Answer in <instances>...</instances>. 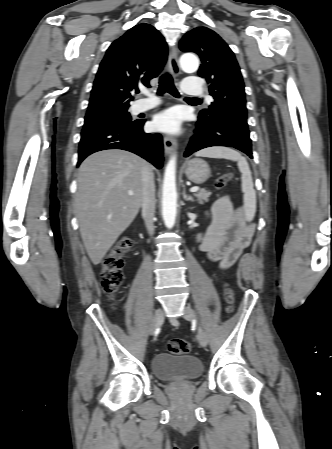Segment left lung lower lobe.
Instances as JSON below:
<instances>
[{
    "mask_svg": "<svg viewBox=\"0 0 332 449\" xmlns=\"http://www.w3.org/2000/svg\"><path fill=\"white\" fill-rule=\"evenodd\" d=\"M194 133L184 157L206 147L226 146L234 147L253 158L246 118L229 116L210 122H199L196 124Z\"/></svg>",
    "mask_w": 332,
    "mask_h": 449,
    "instance_id": "1",
    "label": "left lung lower lobe"
}]
</instances>
